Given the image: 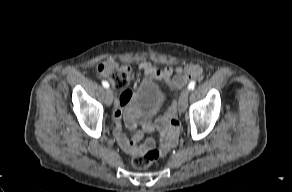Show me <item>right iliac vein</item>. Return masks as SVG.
I'll use <instances>...</instances> for the list:
<instances>
[{"instance_id": "obj_1", "label": "right iliac vein", "mask_w": 292, "mask_h": 192, "mask_svg": "<svg viewBox=\"0 0 292 192\" xmlns=\"http://www.w3.org/2000/svg\"><path fill=\"white\" fill-rule=\"evenodd\" d=\"M105 98H106V104L108 106H110L112 104L113 98H114L113 91L111 89L107 90Z\"/></svg>"}]
</instances>
